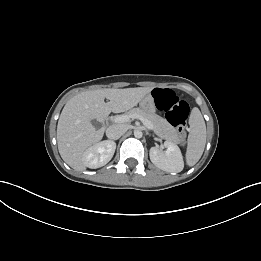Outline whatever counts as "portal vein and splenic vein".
Returning <instances> with one entry per match:
<instances>
[{"label": "portal vein and splenic vein", "instance_id": "18ae733b", "mask_svg": "<svg viewBox=\"0 0 261 261\" xmlns=\"http://www.w3.org/2000/svg\"><path fill=\"white\" fill-rule=\"evenodd\" d=\"M131 118H138L142 121V123L150 130L153 129V125L150 121L144 119L143 117L139 116V115H120L114 118V121L116 123H124L129 121Z\"/></svg>", "mask_w": 261, "mask_h": 261}]
</instances>
